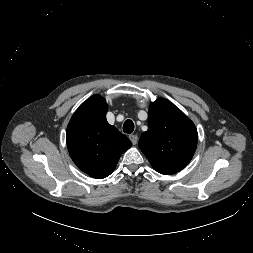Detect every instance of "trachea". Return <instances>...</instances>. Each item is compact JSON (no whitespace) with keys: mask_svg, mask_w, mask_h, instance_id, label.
Segmentation results:
<instances>
[{"mask_svg":"<svg viewBox=\"0 0 253 253\" xmlns=\"http://www.w3.org/2000/svg\"><path fill=\"white\" fill-rule=\"evenodd\" d=\"M134 130V123L132 120L128 119L124 122V125H123V131L125 133H132Z\"/></svg>","mask_w":253,"mask_h":253,"instance_id":"obj_1","label":"trachea"}]
</instances>
